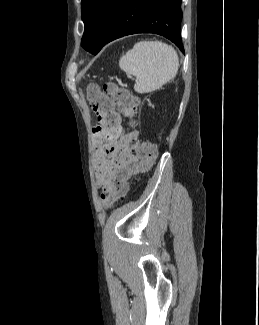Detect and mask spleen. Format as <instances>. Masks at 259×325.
Here are the masks:
<instances>
[{"label":"spleen","instance_id":"3e777b00","mask_svg":"<svg viewBox=\"0 0 259 325\" xmlns=\"http://www.w3.org/2000/svg\"><path fill=\"white\" fill-rule=\"evenodd\" d=\"M119 67L136 77V92L149 93L175 77L179 58L175 49L162 41H140L120 58Z\"/></svg>","mask_w":259,"mask_h":325}]
</instances>
